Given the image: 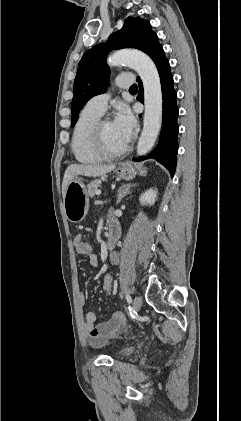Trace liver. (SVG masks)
<instances>
[{
  "label": "liver",
  "instance_id": "1",
  "mask_svg": "<svg viewBox=\"0 0 241 421\" xmlns=\"http://www.w3.org/2000/svg\"><path fill=\"white\" fill-rule=\"evenodd\" d=\"M115 169V164L109 165H84V164H71L67 167L63 182H62V196L64 199L67 186L78 175L87 177H99L109 173Z\"/></svg>",
  "mask_w": 241,
  "mask_h": 421
}]
</instances>
